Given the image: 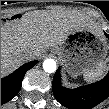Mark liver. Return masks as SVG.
Segmentation results:
<instances>
[{"instance_id":"6515ba94","label":"liver","mask_w":109,"mask_h":109,"mask_svg":"<svg viewBox=\"0 0 109 109\" xmlns=\"http://www.w3.org/2000/svg\"><path fill=\"white\" fill-rule=\"evenodd\" d=\"M103 34L94 20L79 11L36 10L25 13L11 27H1V74L8 75L25 59L22 52L32 51L34 58L50 47L62 44L76 28ZM33 58V59H34Z\"/></svg>"}]
</instances>
